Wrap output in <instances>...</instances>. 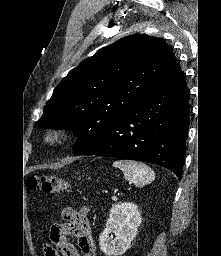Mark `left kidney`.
<instances>
[{
	"instance_id": "obj_1",
	"label": "left kidney",
	"mask_w": 221,
	"mask_h": 256,
	"mask_svg": "<svg viewBox=\"0 0 221 256\" xmlns=\"http://www.w3.org/2000/svg\"><path fill=\"white\" fill-rule=\"evenodd\" d=\"M142 221L137 205L125 202L114 205L109 213L106 228L99 237L100 249L106 256H120L130 247ZM111 233L116 238L112 240Z\"/></svg>"
}]
</instances>
